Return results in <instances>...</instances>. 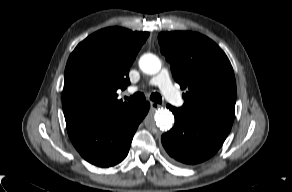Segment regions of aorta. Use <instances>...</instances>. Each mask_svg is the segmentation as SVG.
<instances>
[{
    "label": "aorta",
    "instance_id": "obj_1",
    "mask_svg": "<svg viewBox=\"0 0 292 192\" xmlns=\"http://www.w3.org/2000/svg\"><path fill=\"white\" fill-rule=\"evenodd\" d=\"M161 66L160 59L152 53H146L139 59V68L143 73L148 75H155L159 73ZM173 123L174 116L172 112L167 109H159L156 111L153 119L147 118L145 121L147 128L152 131H154L156 127L162 131L169 130Z\"/></svg>",
    "mask_w": 292,
    "mask_h": 192
}]
</instances>
